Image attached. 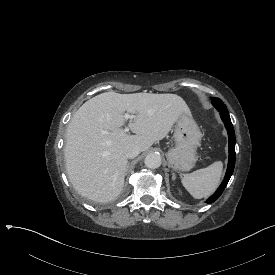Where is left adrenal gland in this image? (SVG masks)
<instances>
[{
	"label": "left adrenal gland",
	"mask_w": 275,
	"mask_h": 275,
	"mask_svg": "<svg viewBox=\"0 0 275 275\" xmlns=\"http://www.w3.org/2000/svg\"><path fill=\"white\" fill-rule=\"evenodd\" d=\"M175 178H176L175 171H174V170H172V179H173V180H175Z\"/></svg>",
	"instance_id": "a2214340"
}]
</instances>
